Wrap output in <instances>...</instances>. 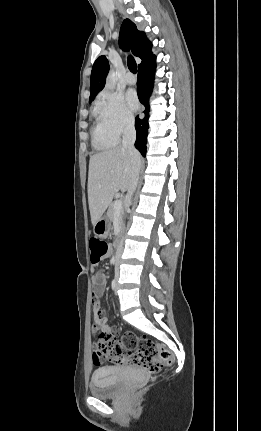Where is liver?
Wrapping results in <instances>:
<instances>
[{
  "instance_id": "1",
  "label": "liver",
  "mask_w": 261,
  "mask_h": 431,
  "mask_svg": "<svg viewBox=\"0 0 261 431\" xmlns=\"http://www.w3.org/2000/svg\"><path fill=\"white\" fill-rule=\"evenodd\" d=\"M141 156H132L122 146L97 153L90 158L88 173V204L94 225L110 205L114 195L129 189L134 170Z\"/></svg>"
}]
</instances>
